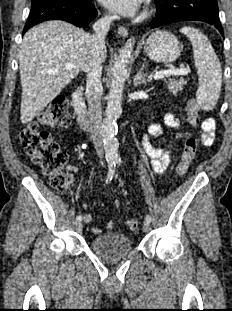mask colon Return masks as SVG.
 Returning <instances> with one entry per match:
<instances>
[{"mask_svg": "<svg viewBox=\"0 0 232 311\" xmlns=\"http://www.w3.org/2000/svg\"><path fill=\"white\" fill-rule=\"evenodd\" d=\"M187 120L190 125L199 123V106L194 99L186 104ZM71 121L69 103L65 96H57L38 116L37 120L27 125L21 132L22 144L33 162L38 165L43 174L49 177L54 188L62 193L71 189V176L64 170L67 154L59 144L53 140L44 127L58 128L67 126ZM198 140L194 136L186 139L176 171L185 174L195 158ZM131 231L138 228L137 220L127 221Z\"/></svg>", "mask_w": 232, "mask_h": 311, "instance_id": "1", "label": "colon"}]
</instances>
